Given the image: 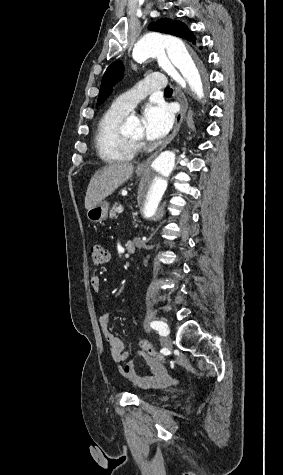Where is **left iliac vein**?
Masks as SVG:
<instances>
[{"instance_id":"1","label":"left iliac vein","mask_w":283,"mask_h":475,"mask_svg":"<svg viewBox=\"0 0 283 475\" xmlns=\"http://www.w3.org/2000/svg\"><path fill=\"white\" fill-rule=\"evenodd\" d=\"M164 331L166 332V335H168L169 333V326L167 325V327L164 328ZM166 335H164L163 337H161V344L166 347L167 349L171 350L172 349V346H171V342L169 341V339L166 337Z\"/></svg>"}]
</instances>
